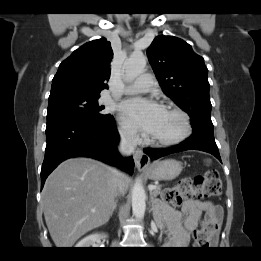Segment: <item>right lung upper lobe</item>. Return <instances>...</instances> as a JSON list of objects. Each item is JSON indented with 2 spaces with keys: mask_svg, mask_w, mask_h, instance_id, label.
Returning <instances> with one entry per match:
<instances>
[{
  "mask_svg": "<svg viewBox=\"0 0 261 261\" xmlns=\"http://www.w3.org/2000/svg\"><path fill=\"white\" fill-rule=\"evenodd\" d=\"M112 55L106 38L82 45L59 65L52 80L50 96L60 92L100 96V92L107 89Z\"/></svg>",
  "mask_w": 261,
  "mask_h": 261,
  "instance_id": "cb5924a9",
  "label": "right lung upper lobe"
}]
</instances>
